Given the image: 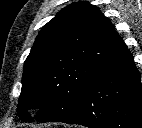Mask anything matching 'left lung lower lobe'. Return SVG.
Returning <instances> with one entry per match:
<instances>
[{"label": "left lung lower lobe", "instance_id": "obj_1", "mask_svg": "<svg viewBox=\"0 0 142 128\" xmlns=\"http://www.w3.org/2000/svg\"><path fill=\"white\" fill-rule=\"evenodd\" d=\"M57 122L142 128L141 77L127 46L89 81L71 112Z\"/></svg>", "mask_w": 142, "mask_h": 128}]
</instances>
